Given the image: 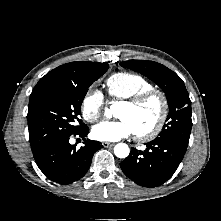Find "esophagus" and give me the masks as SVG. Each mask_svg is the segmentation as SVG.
<instances>
[{
    "mask_svg": "<svg viewBox=\"0 0 221 221\" xmlns=\"http://www.w3.org/2000/svg\"><path fill=\"white\" fill-rule=\"evenodd\" d=\"M102 146L107 148V147H110V146H114V143H110V142H102Z\"/></svg>",
    "mask_w": 221,
    "mask_h": 221,
    "instance_id": "obj_1",
    "label": "esophagus"
}]
</instances>
